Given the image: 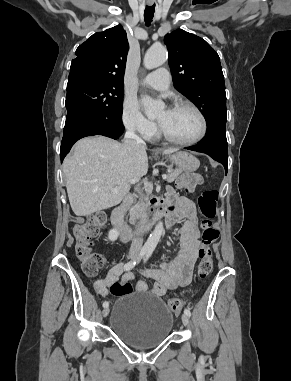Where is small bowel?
<instances>
[{"instance_id": "obj_1", "label": "small bowel", "mask_w": 291, "mask_h": 381, "mask_svg": "<svg viewBox=\"0 0 291 381\" xmlns=\"http://www.w3.org/2000/svg\"><path fill=\"white\" fill-rule=\"evenodd\" d=\"M167 222L169 226H174L183 221L179 229L180 252L172 260L163 262L158 268L143 270V276L153 279L152 286H148L144 281L136 284V290L148 291L156 296H163L169 290L188 284L192 279L193 267L198 256V227L196 209L190 200L177 197L170 191L166 201ZM134 279L131 272H123V265H114L105 278L94 283V288L101 296L108 295V287L117 281L128 283Z\"/></svg>"}]
</instances>
